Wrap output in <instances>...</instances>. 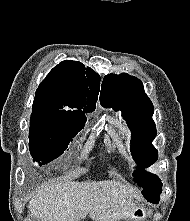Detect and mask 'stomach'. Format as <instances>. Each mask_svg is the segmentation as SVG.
<instances>
[{"label":"stomach","mask_w":190,"mask_h":221,"mask_svg":"<svg viewBox=\"0 0 190 221\" xmlns=\"http://www.w3.org/2000/svg\"><path fill=\"white\" fill-rule=\"evenodd\" d=\"M137 210L135 209L134 212H125L124 213V216L125 217H139L140 216V213L139 212H136Z\"/></svg>","instance_id":"stomach-1"}]
</instances>
